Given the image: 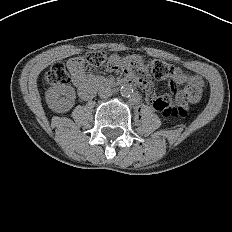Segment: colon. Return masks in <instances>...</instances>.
I'll list each match as a JSON object with an SVG mask.
<instances>
[{
  "label": "colon",
  "instance_id": "1",
  "mask_svg": "<svg viewBox=\"0 0 232 232\" xmlns=\"http://www.w3.org/2000/svg\"><path fill=\"white\" fill-rule=\"evenodd\" d=\"M80 62L82 64L85 63L90 68H99L106 62V54L102 51H92L80 58ZM147 67L157 80L170 78L175 72V68L172 65L161 60H150L147 62ZM69 80L68 71L62 62L53 64L45 76V81L49 85L65 84ZM185 95L190 103H196L201 99L202 88L195 85H188L185 88ZM163 113L170 117L185 116L186 109L182 106L173 107L169 105Z\"/></svg>",
  "mask_w": 232,
  "mask_h": 232
}]
</instances>
